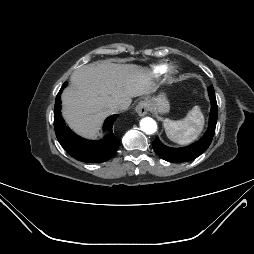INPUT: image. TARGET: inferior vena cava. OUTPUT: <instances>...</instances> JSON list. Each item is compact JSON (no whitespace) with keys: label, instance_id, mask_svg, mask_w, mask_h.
<instances>
[{"label":"inferior vena cava","instance_id":"inferior-vena-cava-1","mask_svg":"<svg viewBox=\"0 0 254 254\" xmlns=\"http://www.w3.org/2000/svg\"><path fill=\"white\" fill-rule=\"evenodd\" d=\"M129 107V104L124 103V102H120V103H116L112 106V109L114 111H121V110H126Z\"/></svg>","mask_w":254,"mask_h":254}]
</instances>
